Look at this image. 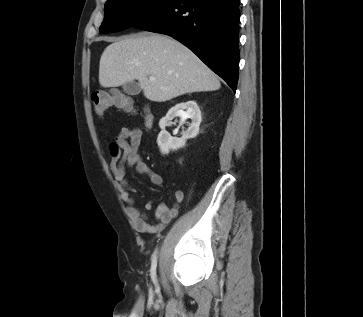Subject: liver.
Here are the masks:
<instances>
[{
  "mask_svg": "<svg viewBox=\"0 0 363 317\" xmlns=\"http://www.w3.org/2000/svg\"><path fill=\"white\" fill-rule=\"evenodd\" d=\"M155 77L150 81L149 77ZM139 81L144 96L165 102L186 93L215 91L217 76L182 43L159 34L119 39L106 47L100 58L99 83L118 87Z\"/></svg>",
  "mask_w": 363,
  "mask_h": 317,
  "instance_id": "6515ba94",
  "label": "liver"
}]
</instances>
